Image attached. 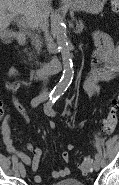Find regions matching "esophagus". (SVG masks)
<instances>
[{
  "label": "esophagus",
  "mask_w": 119,
  "mask_h": 185,
  "mask_svg": "<svg viewBox=\"0 0 119 185\" xmlns=\"http://www.w3.org/2000/svg\"><path fill=\"white\" fill-rule=\"evenodd\" d=\"M61 1H62V3H66L67 4V3H71L72 0H61Z\"/></svg>",
  "instance_id": "obj_1"
}]
</instances>
